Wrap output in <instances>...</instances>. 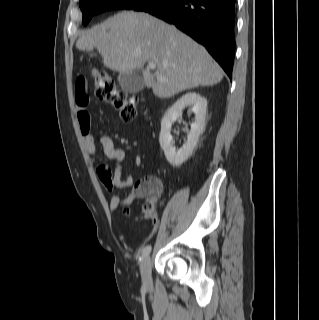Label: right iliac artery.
I'll return each instance as SVG.
<instances>
[{
    "instance_id": "right-iliac-artery-1",
    "label": "right iliac artery",
    "mask_w": 319,
    "mask_h": 320,
    "mask_svg": "<svg viewBox=\"0 0 319 320\" xmlns=\"http://www.w3.org/2000/svg\"><path fill=\"white\" fill-rule=\"evenodd\" d=\"M150 251H151V246L147 245L142 251V256L146 257L150 253Z\"/></svg>"
}]
</instances>
